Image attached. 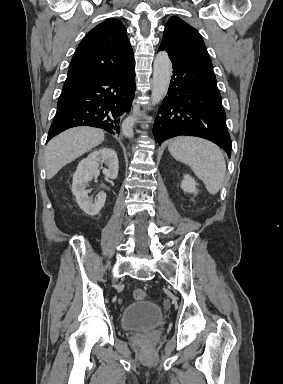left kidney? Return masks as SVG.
I'll use <instances>...</instances> for the list:
<instances>
[{
	"instance_id": "1",
	"label": "left kidney",
	"mask_w": 283,
	"mask_h": 384,
	"mask_svg": "<svg viewBox=\"0 0 283 384\" xmlns=\"http://www.w3.org/2000/svg\"><path fill=\"white\" fill-rule=\"evenodd\" d=\"M196 186L195 180H193L192 176H189V174H186L184 176V180H182L181 188L184 190V192H189V194H196L198 192Z\"/></svg>"
}]
</instances>
